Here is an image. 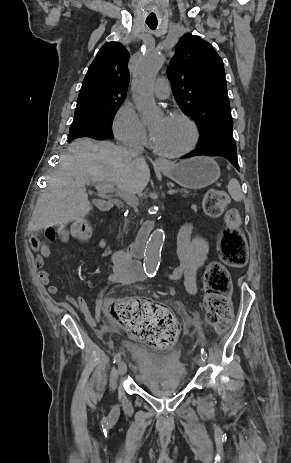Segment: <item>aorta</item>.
<instances>
[{"label":"aorta","instance_id":"obj_1","mask_svg":"<svg viewBox=\"0 0 291 463\" xmlns=\"http://www.w3.org/2000/svg\"><path fill=\"white\" fill-rule=\"evenodd\" d=\"M164 61V57L157 51H147L136 67L132 80L133 99L144 118H149L156 112L153 86ZM164 238L161 229L154 230L149 238L144 255V270L148 275L155 274L159 267Z\"/></svg>","mask_w":291,"mask_h":463}]
</instances>
